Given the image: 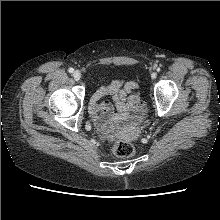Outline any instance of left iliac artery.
Listing matches in <instances>:
<instances>
[{
    "instance_id": "1",
    "label": "left iliac artery",
    "mask_w": 220,
    "mask_h": 220,
    "mask_svg": "<svg viewBox=\"0 0 220 220\" xmlns=\"http://www.w3.org/2000/svg\"><path fill=\"white\" fill-rule=\"evenodd\" d=\"M157 71H160V67L157 68Z\"/></svg>"
}]
</instances>
